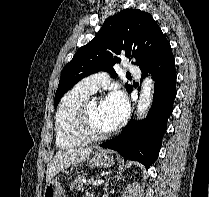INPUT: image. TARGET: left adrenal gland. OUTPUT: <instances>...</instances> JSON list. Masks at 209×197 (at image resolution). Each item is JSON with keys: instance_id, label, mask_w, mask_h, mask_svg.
I'll list each match as a JSON object with an SVG mask.
<instances>
[{"instance_id": "1", "label": "left adrenal gland", "mask_w": 209, "mask_h": 197, "mask_svg": "<svg viewBox=\"0 0 209 197\" xmlns=\"http://www.w3.org/2000/svg\"><path fill=\"white\" fill-rule=\"evenodd\" d=\"M109 180H110V176L106 179V183H105V186H104V190H105V191H107V189H108Z\"/></svg>"}]
</instances>
